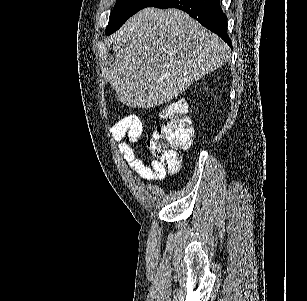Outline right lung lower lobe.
Here are the masks:
<instances>
[{
	"mask_svg": "<svg viewBox=\"0 0 307 301\" xmlns=\"http://www.w3.org/2000/svg\"><path fill=\"white\" fill-rule=\"evenodd\" d=\"M149 7L183 10L232 47L227 35V16L220 6V0H157Z\"/></svg>",
	"mask_w": 307,
	"mask_h": 301,
	"instance_id": "right-lung-lower-lobe-1",
	"label": "right lung lower lobe"
}]
</instances>
